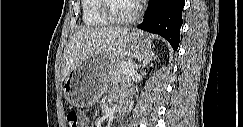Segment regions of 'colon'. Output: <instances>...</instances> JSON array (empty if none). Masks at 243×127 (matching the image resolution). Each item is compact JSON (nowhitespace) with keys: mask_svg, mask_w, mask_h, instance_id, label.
<instances>
[{"mask_svg":"<svg viewBox=\"0 0 243 127\" xmlns=\"http://www.w3.org/2000/svg\"><path fill=\"white\" fill-rule=\"evenodd\" d=\"M66 119L69 127H85L84 119L76 111H69Z\"/></svg>","mask_w":243,"mask_h":127,"instance_id":"1","label":"colon"}]
</instances>
